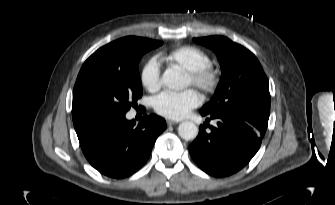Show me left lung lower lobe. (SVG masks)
<instances>
[{
	"label": "left lung lower lobe",
	"instance_id": "0a47b994",
	"mask_svg": "<svg viewBox=\"0 0 335 205\" xmlns=\"http://www.w3.org/2000/svg\"><path fill=\"white\" fill-rule=\"evenodd\" d=\"M206 122L200 126L197 138L189 146L195 163L206 173L225 177L242 169L260 148L267 129V121L238 113L205 114Z\"/></svg>",
	"mask_w": 335,
	"mask_h": 205
}]
</instances>
